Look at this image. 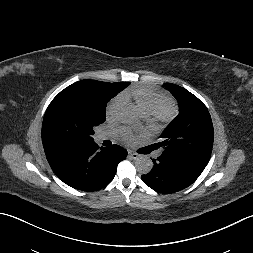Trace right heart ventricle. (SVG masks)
<instances>
[{
  "label": "right heart ventricle",
  "mask_w": 253,
  "mask_h": 253,
  "mask_svg": "<svg viewBox=\"0 0 253 253\" xmlns=\"http://www.w3.org/2000/svg\"><path fill=\"white\" fill-rule=\"evenodd\" d=\"M124 100L132 99L146 115H152L166 100L164 94L145 87H136L122 94Z\"/></svg>",
  "instance_id": "obj_1"
}]
</instances>
